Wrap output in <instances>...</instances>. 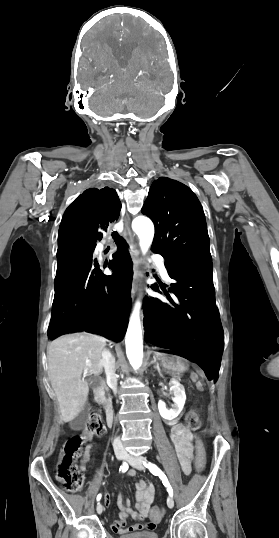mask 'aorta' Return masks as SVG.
I'll return each instance as SVG.
<instances>
[{
	"label": "aorta",
	"mask_w": 279,
	"mask_h": 538,
	"mask_svg": "<svg viewBox=\"0 0 279 538\" xmlns=\"http://www.w3.org/2000/svg\"><path fill=\"white\" fill-rule=\"evenodd\" d=\"M132 229L139 238L142 253L146 254L154 238V225L152 221L147 217L138 216L132 222ZM141 307V302L137 301L130 316L125 338L127 358L135 370L141 366L143 359V337L140 320Z\"/></svg>",
	"instance_id": "obj_1"
}]
</instances>
